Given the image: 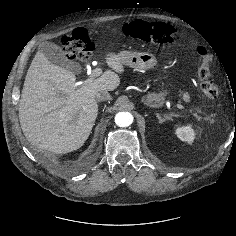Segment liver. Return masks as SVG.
<instances>
[{"label": "liver", "mask_w": 236, "mask_h": 236, "mask_svg": "<svg viewBox=\"0 0 236 236\" xmlns=\"http://www.w3.org/2000/svg\"><path fill=\"white\" fill-rule=\"evenodd\" d=\"M105 71L92 82L77 85L73 72L51 63L39 50L28 69L19 102V121L26 139L57 154L79 149L98 115L96 94L113 91L125 71L118 54L105 55Z\"/></svg>", "instance_id": "obj_1"}]
</instances>
